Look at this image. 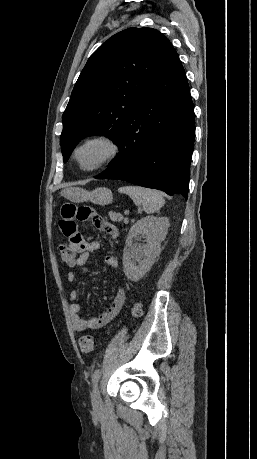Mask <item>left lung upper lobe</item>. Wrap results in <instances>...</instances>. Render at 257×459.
<instances>
[{
  "label": "left lung upper lobe",
  "instance_id": "obj_1",
  "mask_svg": "<svg viewBox=\"0 0 257 459\" xmlns=\"http://www.w3.org/2000/svg\"><path fill=\"white\" fill-rule=\"evenodd\" d=\"M174 50L152 28H128L104 42L88 59L63 114L60 145L64 162L90 135L119 143L139 97Z\"/></svg>",
  "mask_w": 257,
  "mask_h": 459
}]
</instances>
